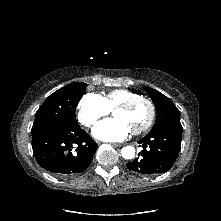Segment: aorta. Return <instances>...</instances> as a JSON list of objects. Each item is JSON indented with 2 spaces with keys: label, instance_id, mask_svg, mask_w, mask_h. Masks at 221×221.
I'll use <instances>...</instances> for the list:
<instances>
[{
  "label": "aorta",
  "instance_id": "aorta-1",
  "mask_svg": "<svg viewBox=\"0 0 221 221\" xmlns=\"http://www.w3.org/2000/svg\"><path fill=\"white\" fill-rule=\"evenodd\" d=\"M124 159H132L135 156V148L133 146H125L121 150Z\"/></svg>",
  "mask_w": 221,
  "mask_h": 221
}]
</instances>
